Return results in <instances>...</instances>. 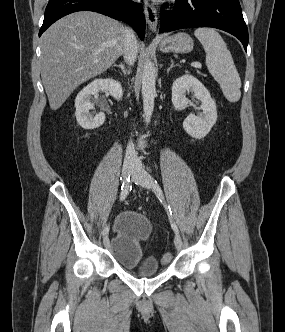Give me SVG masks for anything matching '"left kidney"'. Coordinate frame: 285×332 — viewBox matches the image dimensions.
Instances as JSON below:
<instances>
[{
    "label": "left kidney",
    "instance_id": "5707ae66",
    "mask_svg": "<svg viewBox=\"0 0 285 332\" xmlns=\"http://www.w3.org/2000/svg\"><path fill=\"white\" fill-rule=\"evenodd\" d=\"M193 92L194 96L201 101L202 114L195 116L190 114L183 122V128L191 137L204 138L217 120V110L214 100L209 91L194 76L186 74L177 78L172 85V103L177 109H184L188 103L186 94Z\"/></svg>",
    "mask_w": 285,
    "mask_h": 332
}]
</instances>
